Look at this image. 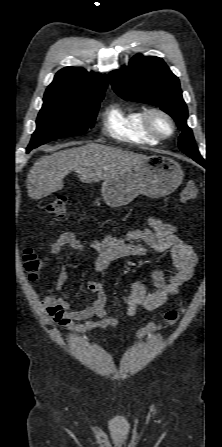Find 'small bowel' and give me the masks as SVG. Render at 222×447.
Segmentation results:
<instances>
[{
  "instance_id": "obj_1",
  "label": "small bowel",
  "mask_w": 222,
  "mask_h": 447,
  "mask_svg": "<svg viewBox=\"0 0 222 447\" xmlns=\"http://www.w3.org/2000/svg\"><path fill=\"white\" fill-rule=\"evenodd\" d=\"M148 228L130 231L127 240L117 238L113 234L93 241L91 247L96 251L94 274L87 282L88 289L96 294L95 301L80 310H71L69 293L63 290L68 280L67 270H63L57 279V294L46 296L41 300L47 315L62 329L82 333L94 329H106L117 326L118 320L106 312V294L103 282L98 281L95 274L105 271L109 264L118 259L142 257L150 250L155 254L169 253L171 263L168 273L156 269L152 273L154 289L147 292L142 281L133 282L126 295V316L133 317L139 308L153 311L164 305L170 296L178 293L179 287L193 276L197 262L192 248L177 235L176 225L166 223L155 217L147 218ZM70 247L83 251L84 243L73 233H62L50 246V253L59 256L63 248Z\"/></svg>"
}]
</instances>
